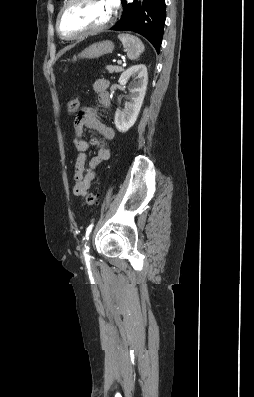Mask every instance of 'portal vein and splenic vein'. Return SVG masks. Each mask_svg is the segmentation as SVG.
Instances as JSON below:
<instances>
[{"label": "portal vein and splenic vein", "mask_w": 254, "mask_h": 397, "mask_svg": "<svg viewBox=\"0 0 254 397\" xmlns=\"http://www.w3.org/2000/svg\"><path fill=\"white\" fill-rule=\"evenodd\" d=\"M117 63H118L119 65H121V64H122V61L119 60Z\"/></svg>", "instance_id": "18ae733b"}]
</instances>
